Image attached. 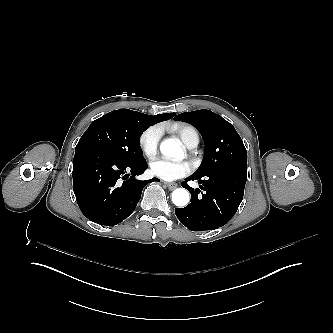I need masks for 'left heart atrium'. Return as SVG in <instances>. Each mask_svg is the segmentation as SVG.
Instances as JSON below:
<instances>
[{"label":"left heart atrium","mask_w":333,"mask_h":333,"mask_svg":"<svg viewBox=\"0 0 333 333\" xmlns=\"http://www.w3.org/2000/svg\"><path fill=\"white\" fill-rule=\"evenodd\" d=\"M192 169V165L187 161L170 162L158 160L152 166V173L164 180L173 181L188 176Z\"/></svg>","instance_id":"39dd6f15"}]
</instances>
